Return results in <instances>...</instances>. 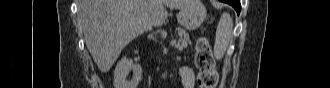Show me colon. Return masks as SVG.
<instances>
[{"mask_svg":"<svg viewBox=\"0 0 330 88\" xmlns=\"http://www.w3.org/2000/svg\"><path fill=\"white\" fill-rule=\"evenodd\" d=\"M195 62L199 71L198 83L200 88H215L218 83V72L209 41L201 37L195 45Z\"/></svg>","mask_w":330,"mask_h":88,"instance_id":"5ec220e1","label":"colon"}]
</instances>
